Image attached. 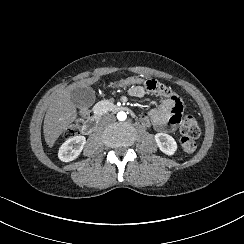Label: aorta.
Here are the masks:
<instances>
[{"mask_svg":"<svg viewBox=\"0 0 244 244\" xmlns=\"http://www.w3.org/2000/svg\"><path fill=\"white\" fill-rule=\"evenodd\" d=\"M126 118H127V115H126L125 112H119V113L117 114V119H118L119 121H124V120H126Z\"/></svg>","mask_w":244,"mask_h":244,"instance_id":"762f6f07","label":"aorta"}]
</instances>
